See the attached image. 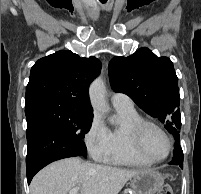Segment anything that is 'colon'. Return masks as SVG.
I'll list each match as a JSON object with an SVG mask.
<instances>
[{
	"label": "colon",
	"instance_id": "1",
	"mask_svg": "<svg viewBox=\"0 0 201 194\" xmlns=\"http://www.w3.org/2000/svg\"><path fill=\"white\" fill-rule=\"evenodd\" d=\"M158 194H173V191L169 185H164L158 191Z\"/></svg>",
	"mask_w": 201,
	"mask_h": 194
}]
</instances>
